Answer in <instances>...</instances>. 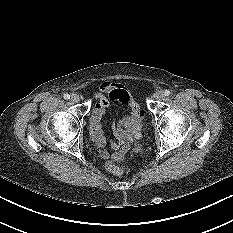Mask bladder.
<instances>
[{"instance_id": "1", "label": "bladder", "mask_w": 233, "mask_h": 233, "mask_svg": "<svg viewBox=\"0 0 233 233\" xmlns=\"http://www.w3.org/2000/svg\"><path fill=\"white\" fill-rule=\"evenodd\" d=\"M122 126L125 134H135L142 128V122L138 119H133L132 116H126L119 122L118 127Z\"/></svg>"}]
</instances>
